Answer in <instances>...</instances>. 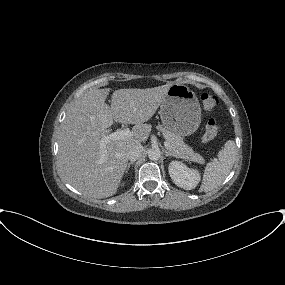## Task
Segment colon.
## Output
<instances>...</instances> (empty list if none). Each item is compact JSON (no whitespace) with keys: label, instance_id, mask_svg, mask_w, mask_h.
Instances as JSON below:
<instances>
[{"label":"colon","instance_id":"colon-1","mask_svg":"<svg viewBox=\"0 0 285 285\" xmlns=\"http://www.w3.org/2000/svg\"><path fill=\"white\" fill-rule=\"evenodd\" d=\"M201 105L204 111L212 112L220 104L219 98L211 93H202L200 96ZM219 123L216 119L210 118L206 124L204 133L202 135V142L209 143L215 139L219 132Z\"/></svg>","mask_w":285,"mask_h":285}]
</instances>
